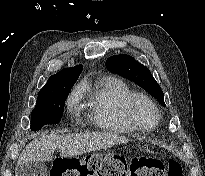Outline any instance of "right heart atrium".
<instances>
[{
    "label": "right heart atrium",
    "mask_w": 205,
    "mask_h": 176,
    "mask_svg": "<svg viewBox=\"0 0 205 176\" xmlns=\"http://www.w3.org/2000/svg\"><path fill=\"white\" fill-rule=\"evenodd\" d=\"M80 99H81V91L79 88H75L70 93L67 100V107L71 113L77 111L79 107Z\"/></svg>",
    "instance_id": "d8ad5b80"
}]
</instances>
